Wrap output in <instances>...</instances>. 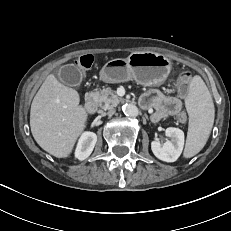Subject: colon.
Wrapping results in <instances>:
<instances>
[{
  "label": "colon",
  "mask_w": 231,
  "mask_h": 231,
  "mask_svg": "<svg viewBox=\"0 0 231 231\" xmlns=\"http://www.w3.org/2000/svg\"><path fill=\"white\" fill-rule=\"evenodd\" d=\"M94 58L92 55H83L76 60V65L81 69H88L92 66ZM192 80V73L185 71L178 77V91L182 95H186L189 91L190 82ZM179 121H186V114L181 113L179 115Z\"/></svg>",
  "instance_id": "1"
}]
</instances>
